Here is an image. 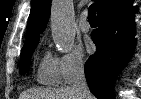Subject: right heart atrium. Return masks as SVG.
<instances>
[{
    "label": "right heart atrium",
    "instance_id": "right-heart-atrium-1",
    "mask_svg": "<svg viewBox=\"0 0 141 99\" xmlns=\"http://www.w3.org/2000/svg\"><path fill=\"white\" fill-rule=\"evenodd\" d=\"M59 79L63 83H69L84 72L86 60L78 49L60 55L56 59Z\"/></svg>",
    "mask_w": 141,
    "mask_h": 99
}]
</instances>
